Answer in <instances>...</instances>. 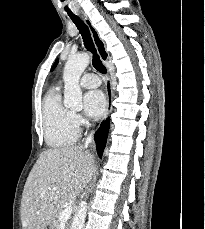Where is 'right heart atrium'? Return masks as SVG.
I'll list each match as a JSON object with an SVG mask.
<instances>
[{"instance_id": "1", "label": "right heart atrium", "mask_w": 205, "mask_h": 229, "mask_svg": "<svg viewBox=\"0 0 205 229\" xmlns=\"http://www.w3.org/2000/svg\"><path fill=\"white\" fill-rule=\"evenodd\" d=\"M73 119H74V122L77 125V127H80L86 123L83 116L78 114V113L73 114Z\"/></svg>"}]
</instances>
